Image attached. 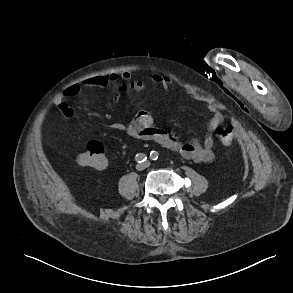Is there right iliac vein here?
I'll return each instance as SVG.
<instances>
[{
	"instance_id": "obj_1",
	"label": "right iliac vein",
	"mask_w": 293,
	"mask_h": 293,
	"mask_svg": "<svg viewBox=\"0 0 293 293\" xmlns=\"http://www.w3.org/2000/svg\"><path fill=\"white\" fill-rule=\"evenodd\" d=\"M143 167H144V166L141 165V164L137 166V168H138L139 170L143 169Z\"/></svg>"
}]
</instances>
